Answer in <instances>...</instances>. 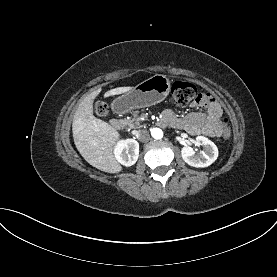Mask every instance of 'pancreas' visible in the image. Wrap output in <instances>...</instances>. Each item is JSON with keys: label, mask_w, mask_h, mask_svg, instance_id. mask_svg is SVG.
<instances>
[{"label": "pancreas", "mask_w": 277, "mask_h": 277, "mask_svg": "<svg viewBox=\"0 0 277 277\" xmlns=\"http://www.w3.org/2000/svg\"><path fill=\"white\" fill-rule=\"evenodd\" d=\"M141 120L142 118L138 115V113L134 112L133 117L132 118L128 117L127 119H125V122L129 128L137 129L142 127V125L140 124Z\"/></svg>", "instance_id": "pancreas-1"}]
</instances>
